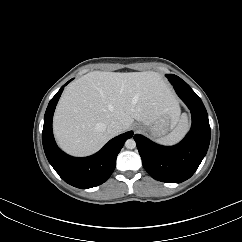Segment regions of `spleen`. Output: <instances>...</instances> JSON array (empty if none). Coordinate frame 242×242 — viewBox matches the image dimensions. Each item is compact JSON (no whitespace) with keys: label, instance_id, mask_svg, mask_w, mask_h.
Listing matches in <instances>:
<instances>
[{"label":"spleen","instance_id":"spleen-1","mask_svg":"<svg viewBox=\"0 0 242 242\" xmlns=\"http://www.w3.org/2000/svg\"><path fill=\"white\" fill-rule=\"evenodd\" d=\"M189 129L188 121L185 117L178 121L176 127L165 137H162L159 142L166 145H172L180 141Z\"/></svg>","mask_w":242,"mask_h":242}]
</instances>
